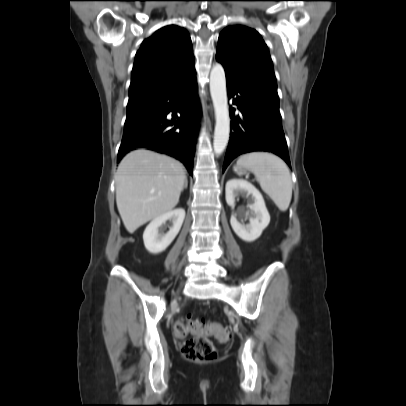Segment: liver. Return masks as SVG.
Returning <instances> with one entry per match:
<instances>
[{
  "mask_svg": "<svg viewBox=\"0 0 406 406\" xmlns=\"http://www.w3.org/2000/svg\"><path fill=\"white\" fill-rule=\"evenodd\" d=\"M185 168L177 160L146 149L127 154L116 175V203L129 233L171 211L179 202Z\"/></svg>",
  "mask_w": 406,
  "mask_h": 406,
  "instance_id": "obj_1",
  "label": "liver"
}]
</instances>
